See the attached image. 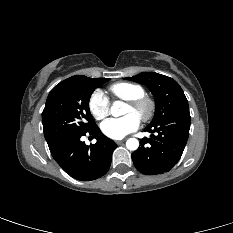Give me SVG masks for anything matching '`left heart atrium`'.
<instances>
[{
  "label": "left heart atrium",
  "instance_id": "left-heart-atrium-1",
  "mask_svg": "<svg viewBox=\"0 0 233 233\" xmlns=\"http://www.w3.org/2000/svg\"><path fill=\"white\" fill-rule=\"evenodd\" d=\"M140 119L134 114L121 118H110L101 124L102 133L111 139H122L138 129Z\"/></svg>",
  "mask_w": 233,
  "mask_h": 233
}]
</instances>
